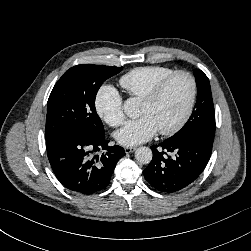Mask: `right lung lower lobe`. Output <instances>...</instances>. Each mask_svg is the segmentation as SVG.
Returning <instances> with one entry per match:
<instances>
[{"label":"right lung lower lobe","mask_w":251,"mask_h":251,"mask_svg":"<svg viewBox=\"0 0 251 251\" xmlns=\"http://www.w3.org/2000/svg\"><path fill=\"white\" fill-rule=\"evenodd\" d=\"M108 143L105 135L80 129L63 130L46 138L47 156L60 183L84 195L105 189L118 160L125 155L122 147Z\"/></svg>","instance_id":"obj_1"}]
</instances>
